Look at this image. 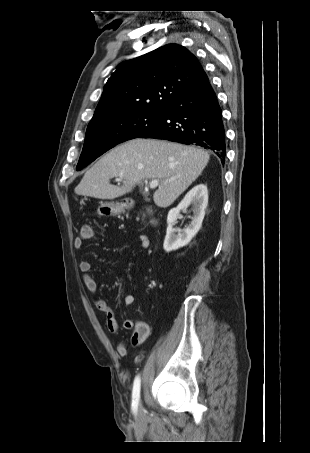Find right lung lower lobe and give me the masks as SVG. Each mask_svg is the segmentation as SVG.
I'll list each match as a JSON object with an SVG mask.
<instances>
[{
  "label": "right lung lower lobe",
  "instance_id": "98d812e1",
  "mask_svg": "<svg viewBox=\"0 0 310 453\" xmlns=\"http://www.w3.org/2000/svg\"><path fill=\"white\" fill-rule=\"evenodd\" d=\"M139 137L197 144L212 150L224 163L226 137L222 111L207 75L168 104L161 119Z\"/></svg>",
  "mask_w": 310,
  "mask_h": 453
}]
</instances>
